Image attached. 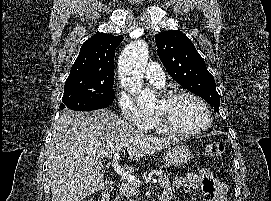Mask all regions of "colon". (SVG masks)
I'll list each match as a JSON object with an SVG mask.
<instances>
[{
	"instance_id": "5ec220e1",
	"label": "colon",
	"mask_w": 271,
	"mask_h": 201,
	"mask_svg": "<svg viewBox=\"0 0 271 201\" xmlns=\"http://www.w3.org/2000/svg\"><path fill=\"white\" fill-rule=\"evenodd\" d=\"M224 151V146L220 142H209L205 146V152L208 157L217 160L219 159ZM87 201H95L94 199H88Z\"/></svg>"
}]
</instances>
